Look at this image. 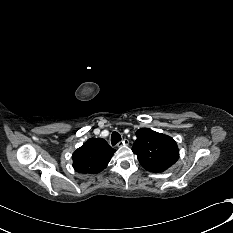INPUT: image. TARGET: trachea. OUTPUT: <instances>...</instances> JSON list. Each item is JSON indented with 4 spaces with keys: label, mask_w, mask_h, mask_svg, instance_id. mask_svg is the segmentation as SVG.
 <instances>
[{
    "label": "trachea",
    "mask_w": 233,
    "mask_h": 233,
    "mask_svg": "<svg viewBox=\"0 0 233 233\" xmlns=\"http://www.w3.org/2000/svg\"><path fill=\"white\" fill-rule=\"evenodd\" d=\"M119 141H121V136L118 132L114 131L111 134V144L114 146L116 145Z\"/></svg>",
    "instance_id": "1"
}]
</instances>
